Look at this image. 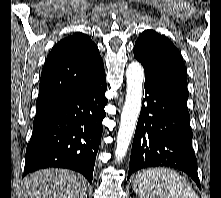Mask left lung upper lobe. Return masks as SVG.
I'll use <instances>...</instances> for the list:
<instances>
[{"instance_id": "obj_1", "label": "left lung upper lobe", "mask_w": 221, "mask_h": 198, "mask_svg": "<svg viewBox=\"0 0 221 198\" xmlns=\"http://www.w3.org/2000/svg\"><path fill=\"white\" fill-rule=\"evenodd\" d=\"M134 57L141 62L145 78L164 89L176 101L187 106V73L182 56L173 43L153 30L137 39Z\"/></svg>"}]
</instances>
